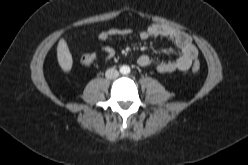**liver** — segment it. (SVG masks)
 Here are the masks:
<instances>
[{"label": "liver", "mask_w": 248, "mask_h": 165, "mask_svg": "<svg viewBox=\"0 0 248 165\" xmlns=\"http://www.w3.org/2000/svg\"><path fill=\"white\" fill-rule=\"evenodd\" d=\"M57 59L63 71L69 72L72 68L73 59L66 41L61 38L57 45Z\"/></svg>", "instance_id": "liver-1"}]
</instances>
